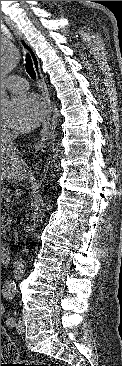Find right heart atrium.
Masks as SVG:
<instances>
[{
	"instance_id": "obj_1",
	"label": "right heart atrium",
	"mask_w": 122,
	"mask_h": 366,
	"mask_svg": "<svg viewBox=\"0 0 122 366\" xmlns=\"http://www.w3.org/2000/svg\"><path fill=\"white\" fill-rule=\"evenodd\" d=\"M2 133H3V129H2V127H1V135H2Z\"/></svg>"
}]
</instances>
